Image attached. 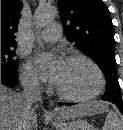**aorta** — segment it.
Wrapping results in <instances>:
<instances>
[{"label": "aorta", "mask_w": 123, "mask_h": 130, "mask_svg": "<svg viewBox=\"0 0 123 130\" xmlns=\"http://www.w3.org/2000/svg\"><path fill=\"white\" fill-rule=\"evenodd\" d=\"M56 15L57 10L55 7L39 6L34 13L35 24L39 28L45 27L54 20Z\"/></svg>", "instance_id": "1"}]
</instances>
